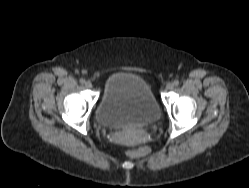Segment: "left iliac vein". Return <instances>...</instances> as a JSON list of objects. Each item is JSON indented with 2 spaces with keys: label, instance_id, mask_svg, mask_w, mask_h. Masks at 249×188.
Returning <instances> with one entry per match:
<instances>
[{
  "label": "left iliac vein",
  "instance_id": "1",
  "mask_svg": "<svg viewBox=\"0 0 249 188\" xmlns=\"http://www.w3.org/2000/svg\"><path fill=\"white\" fill-rule=\"evenodd\" d=\"M173 88H174V84L173 83H171V82L167 83L166 90H172Z\"/></svg>",
  "mask_w": 249,
  "mask_h": 188
}]
</instances>
